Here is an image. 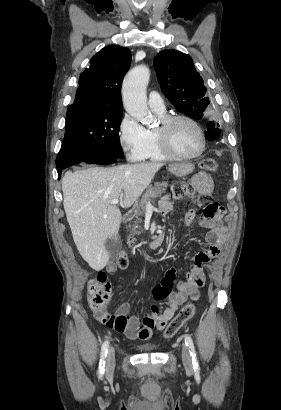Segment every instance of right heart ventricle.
Returning <instances> with one entry per match:
<instances>
[{"label":"right heart ventricle","mask_w":281,"mask_h":410,"mask_svg":"<svg viewBox=\"0 0 281 410\" xmlns=\"http://www.w3.org/2000/svg\"><path fill=\"white\" fill-rule=\"evenodd\" d=\"M158 117L161 119L166 116L165 111L164 112H157L154 111ZM169 158L164 154V152L161 150L156 134H155V129H149L147 130V138H146V144L143 149V152L140 156L141 161H166Z\"/></svg>","instance_id":"1"}]
</instances>
